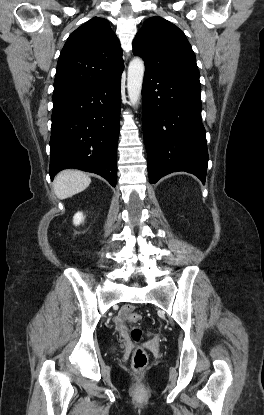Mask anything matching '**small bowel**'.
Masks as SVG:
<instances>
[{
    "label": "small bowel",
    "mask_w": 264,
    "mask_h": 415,
    "mask_svg": "<svg viewBox=\"0 0 264 415\" xmlns=\"http://www.w3.org/2000/svg\"><path fill=\"white\" fill-rule=\"evenodd\" d=\"M128 310L122 309L117 316L114 319L115 325L118 329L123 330L124 329V322L127 318Z\"/></svg>",
    "instance_id": "small-bowel-1"
}]
</instances>
